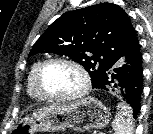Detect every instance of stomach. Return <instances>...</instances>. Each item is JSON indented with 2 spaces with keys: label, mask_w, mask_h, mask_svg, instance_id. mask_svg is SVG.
<instances>
[{
  "label": "stomach",
  "mask_w": 153,
  "mask_h": 134,
  "mask_svg": "<svg viewBox=\"0 0 153 134\" xmlns=\"http://www.w3.org/2000/svg\"><path fill=\"white\" fill-rule=\"evenodd\" d=\"M109 121L107 108L88 97L71 104H52L35 110L15 127V134L59 132L70 128L77 132L103 128Z\"/></svg>",
  "instance_id": "stomach-1"
}]
</instances>
